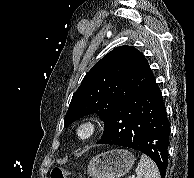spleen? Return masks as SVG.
<instances>
[{"label":"spleen","instance_id":"obj_1","mask_svg":"<svg viewBox=\"0 0 194 178\" xmlns=\"http://www.w3.org/2000/svg\"><path fill=\"white\" fill-rule=\"evenodd\" d=\"M136 178H160L156 164L146 155H141L140 162L136 168Z\"/></svg>","mask_w":194,"mask_h":178}]
</instances>
